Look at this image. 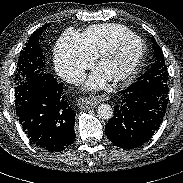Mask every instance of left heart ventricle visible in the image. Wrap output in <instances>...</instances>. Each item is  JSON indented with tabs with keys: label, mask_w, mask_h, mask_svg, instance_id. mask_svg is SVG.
<instances>
[{
	"label": "left heart ventricle",
	"mask_w": 183,
	"mask_h": 183,
	"mask_svg": "<svg viewBox=\"0 0 183 183\" xmlns=\"http://www.w3.org/2000/svg\"><path fill=\"white\" fill-rule=\"evenodd\" d=\"M139 48L140 46L136 42L123 46L119 53L100 69L104 77L109 79L111 76L121 73L128 68L136 58Z\"/></svg>",
	"instance_id": "left-heart-ventricle-1"
}]
</instances>
